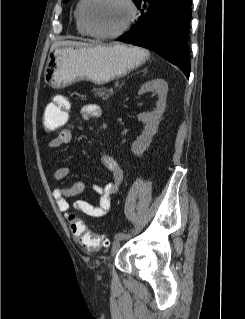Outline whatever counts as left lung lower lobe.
<instances>
[{
  "mask_svg": "<svg viewBox=\"0 0 245 319\" xmlns=\"http://www.w3.org/2000/svg\"><path fill=\"white\" fill-rule=\"evenodd\" d=\"M192 0H137L141 16L117 40L141 46L177 65L186 77L190 74L187 44Z\"/></svg>",
  "mask_w": 245,
  "mask_h": 319,
  "instance_id": "obj_1",
  "label": "left lung lower lobe"
}]
</instances>
